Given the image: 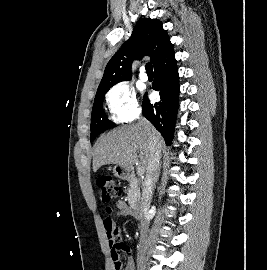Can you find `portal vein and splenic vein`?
Segmentation results:
<instances>
[{"label":"portal vein and splenic vein","instance_id":"1","mask_svg":"<svg viewBox=\"0 0 267 270\" xmlns=\"http://www.w3.org/2000/svg\"><path fill=\"white\" fill-rule=\"evenodd\" d=\"M144 168L142 166H138V169H137V174L139 176H142L144 174Z\"/></svg>","mask_w":267,"mask_h":270}]
</instances>
